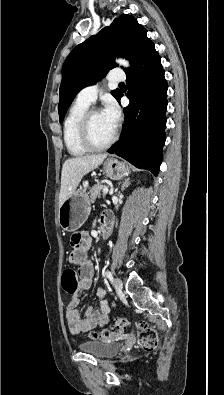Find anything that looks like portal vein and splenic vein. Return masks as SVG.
I'll use <instances>...</instances> for the list:
<instances>
[{
  "label": "portal vein and splenic vein",
  "instance_id": "obj_1",
  "mask_svg": "<svg viewBox=\"0 0 224 395\" xmlns=\"http://www.w3.org/2000/svg\"><path fill=\"white\" fill-rule=\"evenodd\" d=\"M108 191H109L108 188H104L103 189V194L106 195L108 193Z\"/></svg>",
  "mask_w": 224,
  "mask_h": 395
}]
</instances>
